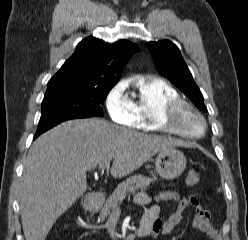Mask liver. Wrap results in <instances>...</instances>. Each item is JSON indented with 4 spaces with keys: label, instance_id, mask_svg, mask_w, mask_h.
Here are the masks:
<instances>
[{
    "label": "liver",
    "instance_id": "1",
    "mask_svg": "<svg viewBox=\"0 0 248 240\" xmlns=\"http://www.w3.org/2000/svg\"><path fill=\"white\" fill-rule=\"evenodd\" d=\"M186 144L148 135L103 119L69 120L41 135L27 155L20 185V213L26 240H45L56 220L87 190L86 172L112 160L121 178L157 153Z\"/></svg>",
    "mask_w": 248,
    "mask_h": 240
}]
</instances>
